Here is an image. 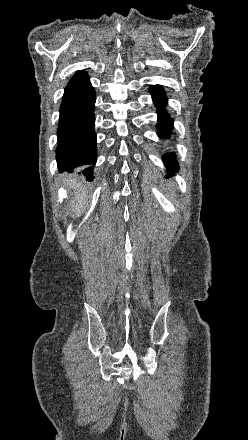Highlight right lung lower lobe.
Masks as SVG:
<instances>
[{
	"label": "right lung lower lobe",
	"instance_id": "1",
	"mask_svg": "<svg viewBox=\"0 0 248 440\" xmlns=\"http://www.w3.org/2000/svg\"><path fill=\"white\" fill-rule=\"evenodd\" d=\"M95 91L90 81L65 89L60 107L56 158L60 171L80 169L89 181L96 164Z\"/></svg>",
	"mask_w": 248,
	"mask_h": 440
}]
</instances>
